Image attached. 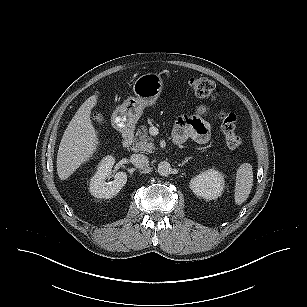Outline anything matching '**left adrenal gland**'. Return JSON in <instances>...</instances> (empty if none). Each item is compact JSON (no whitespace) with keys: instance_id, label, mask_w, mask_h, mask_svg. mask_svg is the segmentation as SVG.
I'll return each mask as SVG.
<instances>
[{"instance_id":"left-adrenal-gland-1","label":"left adrenal gland","mask_w":307,"mask_h":307,"mask_svg":"<svg viewBox=\"0 0 307 307\" xmlns=\"http://www.w3.org/2000/svg\"><path fill=\"white\" fill-rule=\"evenodd\" d=\"M188 160H190V158H187L183 163H182V166L188 162Z\"/></svg>"}]
</instances>
